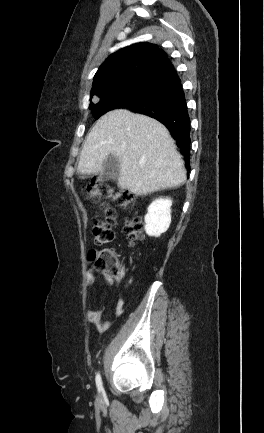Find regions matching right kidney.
Here are the masks:
<instances>
[{"instance_id": "obj_1", "label": "right kidney", "mask_w": 264, "mask_h": 433, "mask_svg": "<svg viewBox=\"0 0 264 433\" xmlns=\"http://www.w3.org/2000/svg\"><path fill=\"white\" fill-rule=\"evenodd\" d=\"M172 200L168 198L155 199L148 207L145 216V231L149 236L159 237L166 232L171 223Z\"/></svg>"}]
</instances>
